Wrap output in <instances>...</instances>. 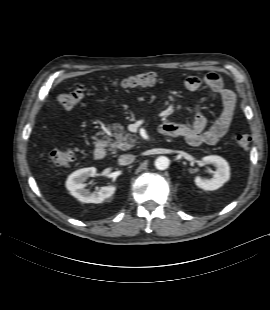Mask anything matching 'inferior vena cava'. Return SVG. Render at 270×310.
Returning a JSON list of instances; mask_svg holds the SVG:
<instances>
[{"label": "inferior vena cava", "instance_id": "obj_1", "mask_svg": "<svg viewBox=\"0 0 270 310\" xmlns=\"http://www.w3.org/2000/svg\"><path fill=\"white\" fill-rule=\"evenodd\" d=\"M135 160V156L132 154H123L119 157L118 161L120 165H129L133 163Z\"/></svg>", "mask_w": 270, "mask_h": 310}]
</instances>
